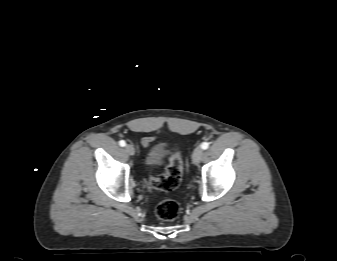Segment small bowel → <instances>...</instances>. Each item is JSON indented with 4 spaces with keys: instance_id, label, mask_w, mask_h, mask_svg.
Returning <instances> with one entry per match:
<instances>
[{
    "instance_id": "1",
    "label": "small bowel",
    "mask_w": 337,
    "mask_h": 261,
    "mask_svg": "<svg viewBox=\"0 0 337 261\" xmlns=\"http://www.w3.org/2000/svg\"><path fill=\"white\" fill-rule=\"evenodd\" d=\"M153 141H154V137H152V136L144 137L142 139V146L144 148H148Z\"/></svg>"
}]
</instances>
